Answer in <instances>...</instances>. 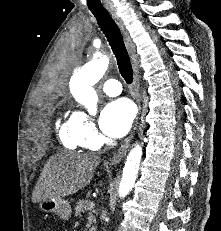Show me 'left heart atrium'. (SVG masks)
I'll return each mask as SVG.
<instances>
[{"label":"left heart atrium","instance_id":"left-heart-atrium-1","mask_svg":"<svg viewBox=\"0 0 221 231\" xmlns=\"http://www.w3.org/2000/svg\"><path fill=\"white\" fill-rule=\"evenodd\" d=\"M134 119L133 105L126 99L109 102L101 112L99 126L111 138H121L130 130Z\"/></svg>","mask_w":221,"mask_h":231}]
</instances>
